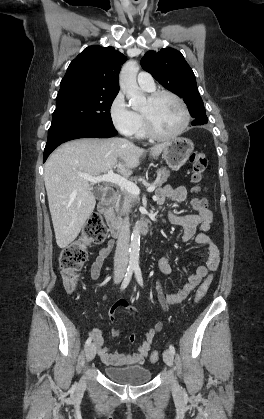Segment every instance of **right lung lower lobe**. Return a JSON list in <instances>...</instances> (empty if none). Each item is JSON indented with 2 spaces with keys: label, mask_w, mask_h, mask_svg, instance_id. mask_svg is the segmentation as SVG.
<instances>
[{
  "label": "right lung lower lobe",
  "mask_w": 264,
  "mask_h": 419,
  "mask_svg": "<svg viewBox=\"0 0 264 419\" xmlns=\"http://www.w3.org/2000/svg\"><path fill=\"white\" fill-rule=\"evenodd\" d=\"M117 135V131L115 129H108L102 127H77L71 130H68L59 136L48 140L46 143V147L44 150V162L46 161L47 157L50 153L60 144L78 138H109L112 136Z\"/></svg>",
  "instance_id": "obj_1"
}]
</instances>
